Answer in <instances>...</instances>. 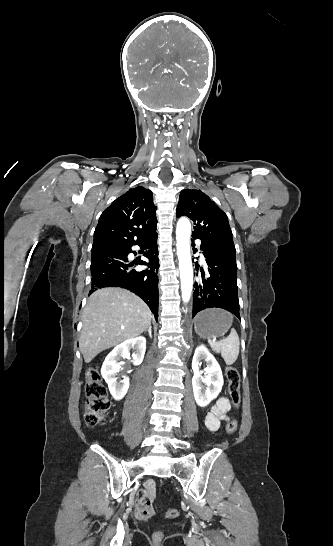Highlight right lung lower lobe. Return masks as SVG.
<instances>
[{
  "mask_svg": "<svg viewBox=\"0 0 333 546\" xmlns=\"http://www.w3.org/2000/svg\"><path fill=\"white\" fill-rule=\"evenodd\" d=\"M157 233L137 241H112L92 247L91 293L98 288L121 287L141 297L149 306L155 318H158V257H157ZM139 245L149 249L144 256L149 260L129 262L127 256L132 251V246ZM146 265L150 269L136 271V265Z\"/></svg>",
  "mask_w": 333,
  "mask_h": 546,
  "instance_id": "right-lung-lower-lobe-1",
  "label": "right lung lower lobe"
}]
</instances>
